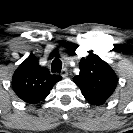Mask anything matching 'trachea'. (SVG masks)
I'll return each mask as SVG.
<instances>
[{
  "label": "trachea",
  "instance_id": "1",
  "mask_svg": "<svg viewBox=\"0 0 133 133\" xmlns=\"http://www.w3.org/2000/svg\"><path fill=\"white\" fill-rule=\"evenodd\" d=\"M62 69V62L60 59L55 58L51 65V71L53 73H60Z\"/></svg>",
  "mask_w": 133,
  "mask_h": 133
}]
</instances>
